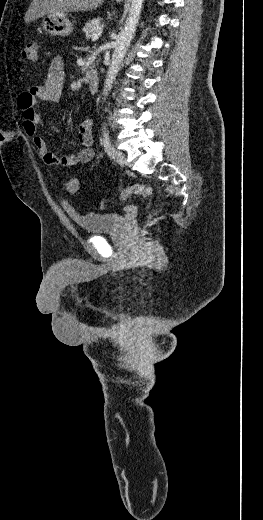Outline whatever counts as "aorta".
Segmentation results:
<instances>
[{"label":"aorta","mask_w":263,"mask_h":520,"mask_svg":"<svg viewBox=\"0 0 263 520\" xmlns=\"http://www.w3.org/2000/svg\"><path fill=\"white\" fill-rule=\"evenodd\" d=\"M144 0H131V7L129 9V15L127 17V20L125 22L124 28L122 32L119 35V38L117 40L116 47L114 49L111 64L108 68L106 79L104 82V88H103V99L105 100L106 97L109 95V92L111 91L113 82L120 70L121 63L123 61V58L128 51V48L130 46V43L133 39L136 26L138 24L141 9L143 5Z\"/></svg>","instance_id":"762f6f07"}]
</instances>
